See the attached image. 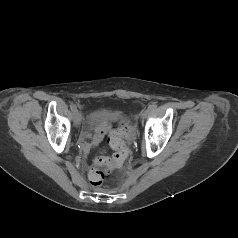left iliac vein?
Masks as SVG:
<instances>
[{
	"label": "left iliac vein",
	"mask_w": 238,
	"mask_h": 238,
	"mask_svg": "<svg viewBox=\"0 0 238 238\" xmlns=\"http://www.w3.org/2000/svg\"><path fill=\"white\" fill-rule=\"evenodd\" d=\"M148 112H149L148 110H145V111H143V112L141 113L140 118H141V121H142V122H143L144 119L147 117Z\"/></svg>",
	"instance_id": "left-iliac-vein-1"
}]
</instances>
